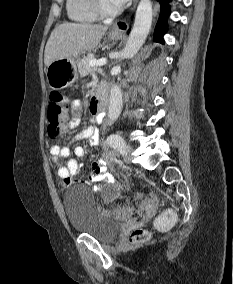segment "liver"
Instances as JSON below:
<instances>
[{
  "label": "liver",
  "mask_w": 233,
  "mask_h": 284,
  "mask_svg": "<svg viewBox=\"0 0 233 284\" xmlns=\"http://www.w3.org/2000/svg\"><path fill=\"white\" fill-rule=\"evenodd\" d=\"M107 26L87 23H63L52 31L44 53V64L95 48L107 31Z\"/></svg>",
  "instance_id": "obj_1"
}]
</instances>
